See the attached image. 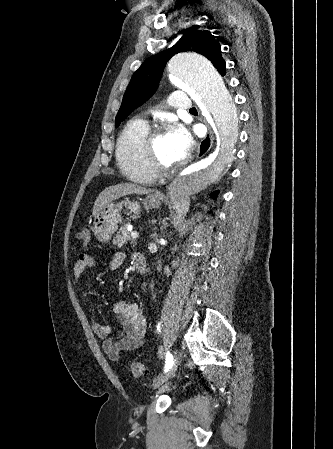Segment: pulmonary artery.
<instances>
[{"mask_svg":"<svg viewBox=\"0 0 333 449\" xmlns=\"http://www.w3.org/2000/svg\"><path fill=\"white\" fill-rule=\"evenodd\" d=\"M171 104L178 109L189 110L192 108V102L185 91H175L170 96Z\"/></svg>","mask_w":333,"mask_h":449,"instance_id":"e3ab8cb5","label":"pulmonary artery"}]
</instances>
